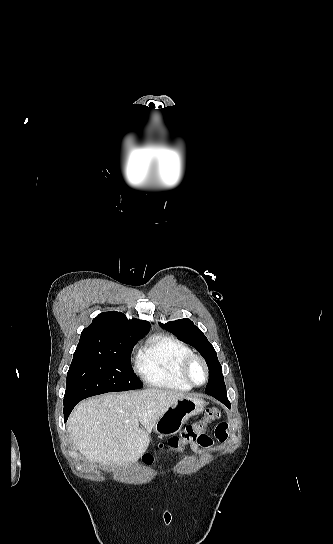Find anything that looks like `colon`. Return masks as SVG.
Returning a JSON list of instances; mask_svg holds the SVG:
<instances>
[{
    "label": "colon",
    "instance_id": "obj_1",
    "mask_svg": "<svg viewBox=\"0 0 333 544\" xmlns=\"http://www.w3.org/2000/svg\"><path fill=\"white\" fill-rule=\"evenodd\" d=\"M220 416V409L216 407L207 408L203 419L187 425L179 436H173L166 442L160 443L159 449L168 453L182 450L186 444L196 441L203 436L207 425L219 419ZM143 461L145 463H151L153 461V455L146 453L143 456Z\"/></svg>",
    "mask_w": 333,
    "mask_h": 544
}]
</instances>
